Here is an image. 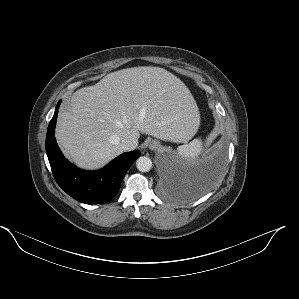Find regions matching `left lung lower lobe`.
<instances>
[{
    "label": "left lung lower lobe",
    "mask_w": 299,
    "mask_h": 299,
    "mask_svg": "<svg viewBox=\"0 0 299 299\" xmlns=\"http://www.w3.org/2000/svg\"><path fill=\"white\" fill-rule=\"evenodd\" d=\"M222 163L221 153L208 156L199 162L194 171L187 175L192 190L202 193L210 189L219 176Z\"/></svg>",
    "instance_id": "left-lung-lower-lobe-1"
}]
</instances>
